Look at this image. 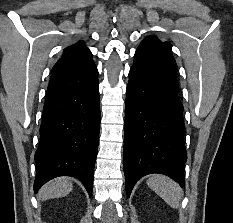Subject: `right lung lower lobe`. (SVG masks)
<instances>
[{
	"mask_svg": "<svg viewBox=\"0 0 233 223\" xmlns=\"http://www.w3.org/2000/svg\"><path fill=\"white\" fill-rule=\"evenodd\" d=\"M99 128L98 70L94 62L52 73L35 153V192L55 177L72 176L91 196Z\"/></svg>",
	"mask_w": 233,
	"mask_h": 223,
	"instance_id": "1",
	"label": "right lung lower lobe"
}]
</instances>
